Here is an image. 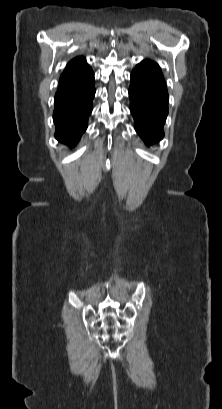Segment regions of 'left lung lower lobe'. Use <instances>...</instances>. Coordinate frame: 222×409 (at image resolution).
I'll list each match as a JSON object with an SVG mask.
<instances>
[{
  "label": "left lung lower lobe",
  "mask_w": 222,
  "mask_h": 409,
  "mask_svg": "<svg viewBox=\"0 0 222 409\" xmlns=\"http://www.w3.org/2000/svg\"><path fill=\"white\" fill-rule=\"evenodd\" d=\"M135 130L147 144L160 141L168 114V92L163 76L134 69L129 89Z\"/></svg>",
  "instance_id": "0a47b994"
}]
</instances>
